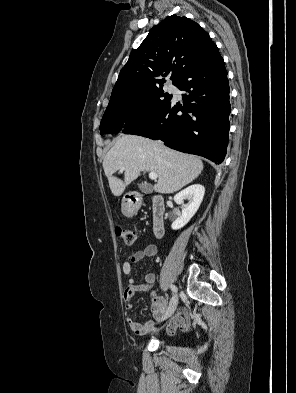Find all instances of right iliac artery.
I'll list each match as a JSON object with an SVG mask.
<instances>
[{
	"label": "right iliac artery",
	"instance_id": "obj_1",
	"mask_svg": "<svg viewBox=\"0 0 296 393\" xmlns=\"http://www.w3.org/2000/svg\"><path fill=\"white\" fill-rule=\"evenodd\" d=\"M170 288L173 292H177V287L175 285H171Z\"/></svg>",
	"mask_w": 296,
	"mask_h": 393
}]
</instances>
